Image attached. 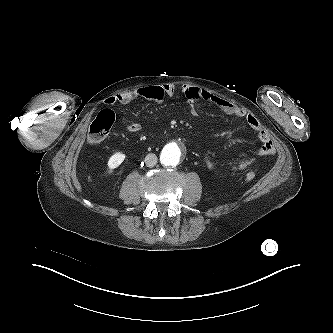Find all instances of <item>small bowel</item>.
<instances>
[{
  "instance_id": "small-bowel-1",
  "label": "small bowel",
  "mask_w": 333,
  "mask_h": 333,
  "mask_svg": "<svg viewBox=\"0 0 333 333\" xmlns=\"http://www.w3.org/2000/svg\"><path fill=\"white\" fill-rule=\"evenodd\" d=\"M181 92L190 105V112L192 115L197 114L196 103L203 101L219 108L223 113L237 119L244 120L247 125L258 133V138L261 146L258 149L257 155L262 157H270L275 153V147L271 140L269 133L262 127L257 117L248 113L242 108L232 104L231 102L218 97L206 90L191 85H183ZM176 87L174 84L166 83L157 86L140 87L130 90L122 91L116 95L110 96L106 99L107 105H114L116 103L127 104L136 99H145L155 102H161L166 97L174 96ZM127 130L131 133H137L141 130V126L137 123H129L126 126ZM256 161L255 157L242 159L228 167L229 171L237 172L249 168ZM205 164L208 169L214 170L215 163L210 156H205Z\"/></svg>"
}]
</instances>
